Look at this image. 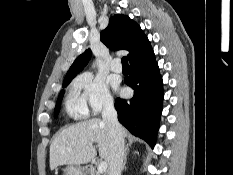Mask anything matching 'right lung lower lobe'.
Returning <instances> with one entry per match:
<instances>
[{"label":"right lung lower lobe","instance_id":"1","mask_svg":"<svg viewBox=\"0 0 233 175\" xmlns=\"http://www.w3.org/2000/svg\"><path fill=\"white\" fill-rule=\"evenodd\" d=\"M131 73L125 83L134 90L131 100L117 98L119 122L133 135L154 147L162 112L163 82L153 50L130 62Z\"/></svg>","mask_w":233,"mask_h":175}]
</instances>
